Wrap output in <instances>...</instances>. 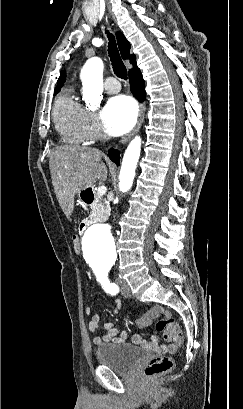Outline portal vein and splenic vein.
<instances>
[{
	"label": "portal vein and splenic vein",
	"mask_w": 243,
	"mask_h": 409,
	"mask_svg": "<svg viewBox=\"0 0 243 409\" xmlns=\"http://www.w3.org/2000/svg\"><path fill=\"white\" fill-rule=\"evenodd\" d=\"M106 192H107V188H106L105 186H100V187L98 188V190H97V193H98L100 196L105 195Z\"/></svg>",
	"instance_id": "obj_1"
}]
</instances>
